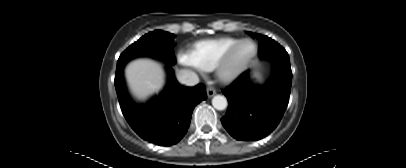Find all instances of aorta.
Here are the masks:
<instances>
[{
    "label": "aorta",
    "instance_id": "762f6f07",
    "mask_svg": "<svg viewBox=\"0 0 406 168\" xmlns=\"http://www.w3.org/2000/svg\"><path fill=\"white\" fill-rule=\"evenodd\" d=\"M212 105L217 110H224L228 105L227 99L222 95H216L212 98Z\"/></svg>",
    "mask_w": 406,
    "mask_h": 168
}]
</instances>
